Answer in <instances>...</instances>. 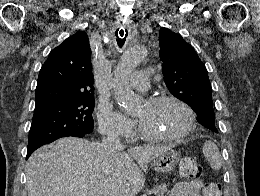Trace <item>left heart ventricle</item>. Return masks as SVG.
Masks as SVG:
<instances>
[{
    "mask_svg": "<svg viewBox=\"0 0 260 196\" xmlns=\"http://www.w3.org/2000/svg\"><path fill=\"white\" fill-rule=\"evenodd\" d=\"M139 126L148 132L172 135L182 132L189 123L188 113L175 103L157 106H141L134 115ZM112 190H90V192H109Z\"/></svg>",
    "mask_w": 260,
    "mask_h": 196,
    "instance_id": "1",
    "label": "left heart ventricle"
}]
</instances>
